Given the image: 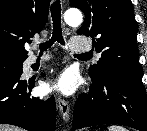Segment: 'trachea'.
Instances as JSON below:
<instances>
[{
  "label": "trachea",
  "instance_id": "1",
  "mask_svg": "<svg viewBox=\"0 0 147 131\" xmlns=\"http://www.w3.org/2000/svg\"><path fill=\"white\" fill-rule=\"evenodd\" d=\"M51 16L53 20V35L50 40L46 41L45 43L40 44V53H43V51L47 50L50 48L54 42H59L60 44L64 45V39L62 36V28H61V5L60 1L57 0L53 2L51 5ZM89 54H77V57H85L88 56Z\"/></svg>",
  "mask_w": 147,
  "mask_h": 131
}]
</instances>
